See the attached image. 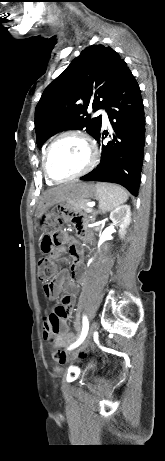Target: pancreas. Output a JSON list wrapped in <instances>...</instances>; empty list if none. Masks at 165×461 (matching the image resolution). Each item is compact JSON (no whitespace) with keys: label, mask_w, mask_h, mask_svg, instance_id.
<instances>
[{"label":"pancreas","mask_w":165,"mask_h":461,"mask_svg":"<svg viewBox=\"0 0 165 461\" xmlns=\"http://www.w3.org/2000/svg\"><path fill=\"white\" fill-rule=\"evenodd\" d=\"M88 200L87 199H70L67 201L68 207L73 211H86L89 212V208L87 206Z\"/></svg>","instance_id":"1"}]
</instances>
